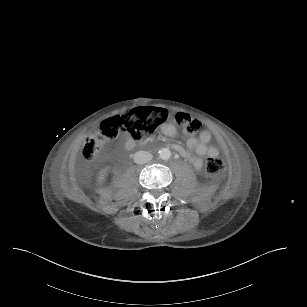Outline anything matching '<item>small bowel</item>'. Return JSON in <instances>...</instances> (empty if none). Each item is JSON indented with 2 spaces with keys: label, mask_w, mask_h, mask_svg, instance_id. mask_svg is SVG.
<instances>
[{
  "label": "small bowel",
  "mask_w": 307,
  "mask_h": 307,
  "mask_svg": "<svg viewBox=\"0 0 307 307\" xmlns=\"http://www.w3.org/2000/svg\"><path fill=\"white\" fill-rule=\"evenodd\" d=\"M164 135L168 137H173L176 134V129L171 124H164L161 128ZM212 139V135L209 131L204 130L200 133L198 137H189L187 140V148L191 152H195L199 156H214L219 154L218 148L210 146L209 143ZM134 142L132 140L128 141V145L132 146ZM173 149L180 153L183 157L190 160L193 167L197 170L202 167V160L198 157L192 156L186 149L178 144H174Z\"/></svg>",
  "instance_id": "c3829d8e"
}]
</instances>
